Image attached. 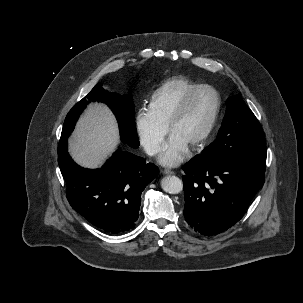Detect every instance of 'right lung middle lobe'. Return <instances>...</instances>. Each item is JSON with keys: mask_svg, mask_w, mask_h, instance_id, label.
Listing matches in <instances>:
<instances>
[{"mask_svg": "<svg viewBox=\"0 0 303 303\" xmlns=\"http://www.w3.org/2000/svg\"><path fill=\"white\" fill-rule=\"evenodd\" d=\"M88 101L105 102L117 118L121 140L130 147L137 148L139 146L134 122V104L131 96L109 93L102 89L100 85H96L85 98L74 105L69 111L64 121L61 140L67 139L72 132L79 115L86 107Z\"/></svg>", "mask_w": 303, "mask_h": 303, "instance_id": "obj_1", "label": "right lung middle lobe"}]
</instances>
